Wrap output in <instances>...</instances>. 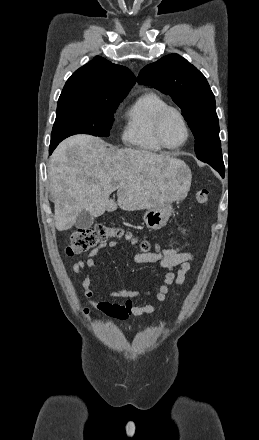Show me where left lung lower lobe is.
<instances>
[{
    "instance_id": "left-lung-lower-lobe-1",
    "label": "left lung lower lobe",
    "mask_w": 259,
    "mask_h": 440,
    "mask_svg": "<svg viewBox=\"0 0 259 440\" xmlns=\"http://www.w3.org/2000/svg\"><path fill=\"white\" fill-rule=\"evenodd\" d=\"M218 172L221 174L222 177H224L225 174V169L223 168H218Z\"/></svg>"
}]
</instances>
